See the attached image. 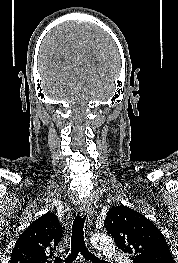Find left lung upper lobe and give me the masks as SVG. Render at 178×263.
Returning a JSON list of instances; mask_svg holds the SVG:
<instances>
[{"label": "left lung upper lobe", "instance_id": "5c2ea615", "mask_svg": "<svg viewBox=\"0 0 178 263\" xmlns=\"http://www.w3.org/2000/svg\"><path fill=\"white\" fill-rule=\"evenodd\" d=\"M104 226L134 263H175L163 234L137 211L124 205L113 207Z\"/></svg>", "mask_w": 178, "mask_h": 263}]
</instances>
